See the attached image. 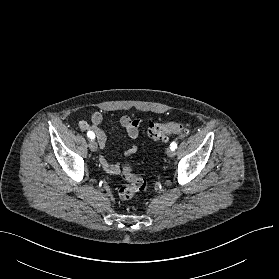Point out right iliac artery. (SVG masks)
<instances>
[{
  "instance_id": "82829eb1",
  "label": "right iliac artery",
  "mask_w": 279,
  "mask_h": 279,
  "mask_svg": "<svg viewBox=\"0 0 279 279\" xmlns=\"http://www.w3.org/2000/svg\"><path fill=\"white\" fill-rule=\"evenodd\" d=\"M87 135H88V137H89L90 139H94V138H95L94 133L91 132V131H89V132L87 133Z\"/></svg>"
}]
</instances>
